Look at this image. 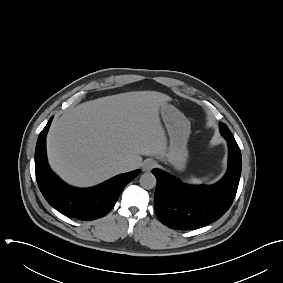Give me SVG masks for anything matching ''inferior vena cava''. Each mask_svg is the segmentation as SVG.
<instances>
[{
  "mask_svg": "<svg viewBox=\"0 0 283 283\" xmlns=\"http://www.w3.org/2000/svg\"><path fill=\"white\" fill-rule=\"evenodd\" d=\"M119 168L121 169L122 172H127V171H131L134 168V165L126 160L120 161L119 162Z\"/></svg>",
  "mask_w": 283,
  "mask_h": 283,
  "instance_id": "inferior-vena-cava-1",
  "label": "inferior vena cava"
}]
</instances>
